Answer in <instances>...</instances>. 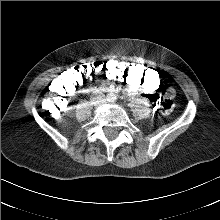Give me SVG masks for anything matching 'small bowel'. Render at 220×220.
Instances as JSON below:
<instances>
[{"label": "small bowel", "mask_w": 220, "mask_h": 220, "mask_svg": "<svg viewBox=\"0 0 220 220\" xmlns=\"http://www.w3.org/2000/svg\"><path fill=\"white\" fill-rule=\"evenodd\" d=\"M110 61H111V60H110ZM140 65H142V64H140ZM155 71H156V70H155ZM156 73H158V72L156 71ZM158 74H159V73H158ZM115 82H117V81H115ZM127 86H128V92H129V93H131V94L142 93V95H143L146 99H147V95L152 94V93H156V92L159 91V89L161 88V84H160L159 88L156 89V90H154V91H149V90L140 91V90H137L134 86H131V85H129V84H127ZM113 89H115V88H113Z\"/></svg>", "instance_id": "1"}]
</instances>
